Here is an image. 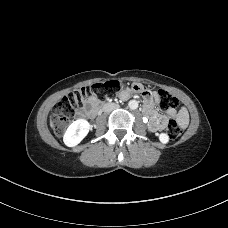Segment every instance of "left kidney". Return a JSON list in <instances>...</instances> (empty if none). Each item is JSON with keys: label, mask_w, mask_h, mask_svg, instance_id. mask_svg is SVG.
Wrapping results in <instances>:
<instances>
[{"label": "left kidney", "mask_w": 228, "mask_h": 228, "mask_svg": "<svg viewBox=\"0 0 228 228\" xmlns=\"http://www.w3.org/2000/svg\"><path fill=\"white\" fill-rule=\"evenodd\" d=\"M159 140L162 142V143H167L169 141V136L165 133H161L160 136H159Z\"/></svg>", "instance_id": "obj_1"}]
</instances>
